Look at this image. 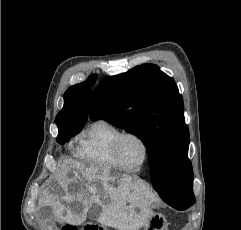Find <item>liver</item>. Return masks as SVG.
Segmentation results:
<instances>
[{
	"label": "liver",
	"instance_id": "6515ba94",
	"mask_svg": "<svg viewBox=\"0 0 241 230\" xmlns=\"http://www.w3.org/2000/svg\"><path fill=\"white\" fill-rule=\"evenodd\" d=\"M70 164L71 176L61 182L64 199L75 201L82 206V210L73 212L59 198L47 192L40 197L39 207L50 206L56 217L69 224L85 221L94 204L101 208L97 222L104 226L117 230H138L147 223L153 213L150 208L153 197L145 186L132 182V177L127 175L120 178L113 176L107 168L85 167L76 161H71ZM81 178L87 183H83ZM78 180L81 181V190L71 194L74 190L72 185L78 183ZM116 180L119 183L117 187L113 185Z\"/></svg>",
	"mask_w": 241,
	"mask_h": 230
}]
</instances>
